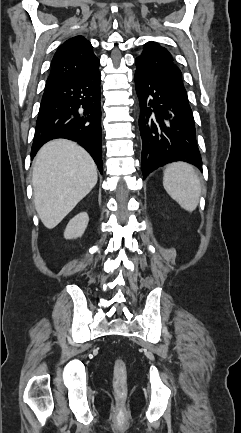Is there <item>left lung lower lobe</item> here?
<instances>
[{
    "instance_id": "0a47b994",
    "label": "left lung lower lobe",
    "mask_w": 241,
    "mask_h": 433,
    "mask_svg": "<svg viewBox=\"0 0 241 433\" xmlns=\"http://www.w3.org/2000/svg\"><path fill=\"white\" fill-rule=\"evenodd\" d=\"M135 83L143 177L174 161L188 162L202 170L191 108L160 78L136 71Z\"/></svg>"
}]
</instances>
